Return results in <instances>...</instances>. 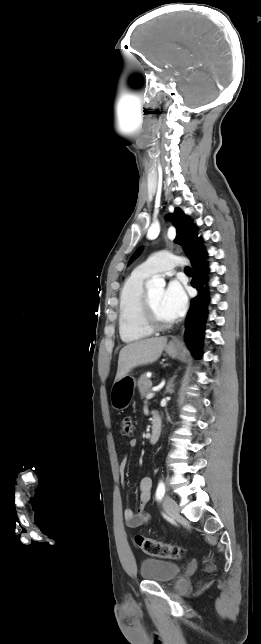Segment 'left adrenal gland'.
I'll return each instance as SVG.
<instances>
[{"label": "left adrenal gland", "mask_w": 261, "mask_h": 644, "mask_svg": "<svg viewBox=\"0 0 261 644\" xmlns=\"http://www.w3.org/2000/svg\"><path fill=\"white\" fill-rule=\"evenodd\" d=\"M174 378H175V376H174V377L170 380V382L168 383V385H167V387H166V392H171V390H172V388H173V386H174V384H172V382H173V379H174Z\"/></svg>", "instance_id": "a2214340"}]
</instances>
